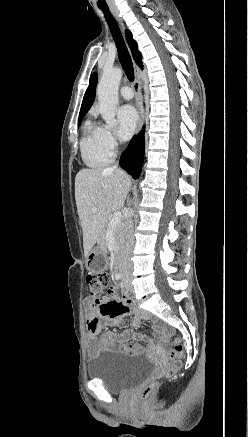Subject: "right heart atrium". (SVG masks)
<instances>
[{
  "label": "right heart atrium",
  "mask_w": 248,
  "mask_h": 437,
  "mask_svg": "<svg viewBox=\"0 0 248 437\" xmlns=\"http://www.w3.org/2000/svg\"><path fill=\"white\" fill-rule=\"evenodd\" d=\"M100 131L104 149L108 154L113 156L119 145V138L116 132L107 126H101Z\"/></svg>",
  "instance_id": "d8ad5b80"
}]
</instances>
